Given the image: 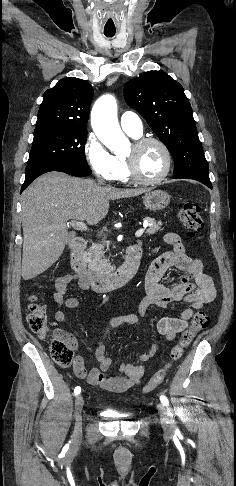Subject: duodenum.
Returning <instances> with one entry per match:
<instances>
[{"label": "duodenum", "mask_w": 236, "mask_h": 486, "mask_svg": "<svg viewBox=\"0 0 236 486\" xmlns=\"http://www.w3.org/2000/svg\"><path fill=\"white\" fill-rule=\"evenodd\" d=\"M86 241L75 238L70 243V265L86 284L95 292H107L125 285L136 274L142 249L139 245H131L126 250L125 260L113 273H104L88 268L83 261Z\"/></svg>", "instance_id": "410a0bca"}]
</instances>
